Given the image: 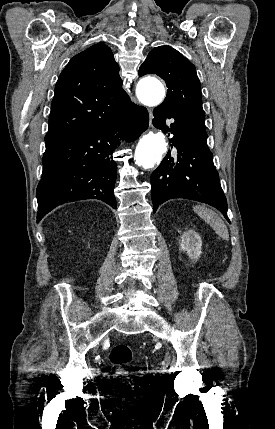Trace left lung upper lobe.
I'll return each mask as SVG.
<instances>
[{"label":"left lung upper lobe","instance_id":"1","mask_svg":"<svg viewBox=\"0 0 275 429\" xmlns=\"http://www.w3.org/2000/svg\"><path fill=\"white\" fill-rule=\"evenodd\" d=\"M138 74L160 76L168 87L167 97L161 105L205 128L201 84L195 66L180 52L167 45L153 48Z\"/></svg>","mask_w":275,"mask_h":429}]
</instances>
